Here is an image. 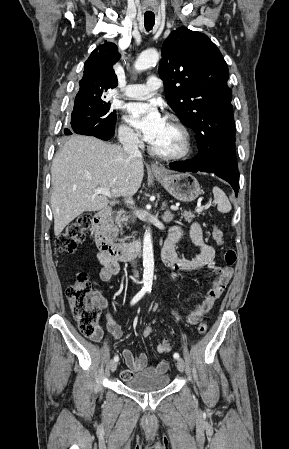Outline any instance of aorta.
<instances>
[{
	"label": "aorta",
	"mask_w": 289,
	"mask_h": 449,
	"mask_svg": "<svg viewBox=\"0 0 289 449\" xmlns=\"http://www.w3.org/2000/svg\"><path fill=\"white\" fill-rule=\"evenodd\" d=\"M159 61V53L155 49H149L140 54L134 64L137 71L150 68ZM143 284L146 288H151L154 275V255L150 230H146L143 239Z\"/></svg>",
	"instance_id": "762f6f07"
}]
</instances>
